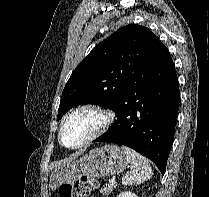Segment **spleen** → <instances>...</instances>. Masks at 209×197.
Segmentation results:
<instances>
[{"label":"spleen","instance_id":"1","mask_svg":"<svg viewBox=\"0 0 209 197\" xmlns=\"http://www.w3.org/2000/svg\"><path fill=\"white\" fill-rule=\"evenodd\" d=\"M122 150L126 155L127 162L131 165L130 172L122 178L123 185H139L152 177V168L146 158L126 146H122Z\"/></svg>","mask_w":209,"mask_h":197}]
</instances>
